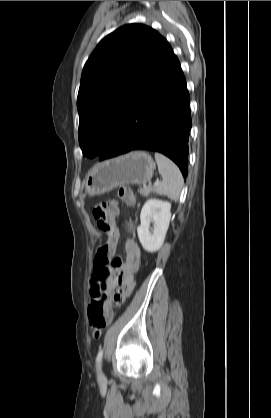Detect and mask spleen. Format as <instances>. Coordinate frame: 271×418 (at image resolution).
<instances>
[{"instance_id":"1","label":"spleen","mask_w":271,"mask_h":418,"mask_svg":"<svg viewBox=\"0 0 271 418\" xmlns=\"http://www.w3.org/2000/svg\"><path fill=\"white\" fill-rule=\"evenodd\" d=\"M155 160L157 162L158 171L163 178L162 182L157 187L158 192L171 200H177L184 183L179 168L169 158L160 153H155Z\"/></svg>"}]
</instances>
